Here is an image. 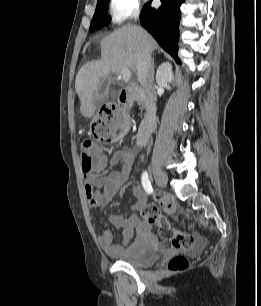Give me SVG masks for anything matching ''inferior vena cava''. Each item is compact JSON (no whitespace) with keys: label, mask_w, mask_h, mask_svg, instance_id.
Segmentation results:
<instances>
[{"label":"inferior vena cava","mask_w":261,"mask_h":306,"mask_svg":"<svg viewBox=\"0 0 261 306\" xmlns=\"http://www.w3.org/2000/svg\"><path fill=\"white\" fill-rule=\"evenodd\" d=\"M151 52L147 48H143L137 60V77L145 89L147 99L150 103H156V94L154 87V74L151 70Z\"/></svg>","instance_id":"1"}]
</instances>
